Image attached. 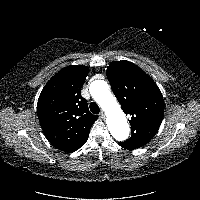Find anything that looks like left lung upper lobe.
I'll use <instances>...</instances> for the list:
<instances>
[{"mask_svg": "<svg viewBox=\"0 0 200 200\" xmlns=\"http://www.w3.org/2000/svg\"><path fill=\"white\" fill-rule=\"evenodd\" d=\"M107 77L123 111L131 116V137L121 143L129 150L146 145L157 133L163 118L164 101L158 86L128 61L112 62Z\"/></svg>", "mask_w": 200, "mask_h": 200, "instance_id": "1", "label": "left lung upper lobe"}]
</instances>
